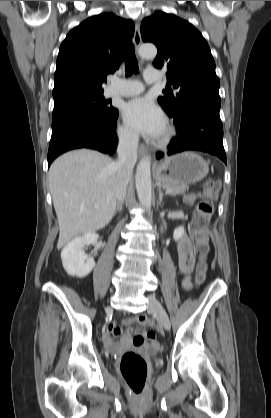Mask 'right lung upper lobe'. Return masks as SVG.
<instances>
[{
    "label": "right lung upper lobe",
    "instance_id": "right-lung-upper-lobe-1",
    "mask_svg": "<svg viewBox=\"0 0 271 418\" xmlns=\"http://www.w3.org/2000/svg\"><path fill=\"white\" fill-rule=\"evenodd\" d=\"M134 24L112 13L92 16L72 29L61 44L54 75V101L103 92L106 76L120 66Z\"/></svg>",
    "mask_w": 271,
    "mask_h": 418
}]
</instances>
